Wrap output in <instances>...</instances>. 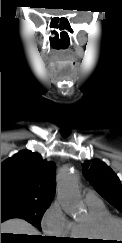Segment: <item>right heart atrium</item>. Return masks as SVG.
Segmentation results:
<instances>
[{
    "instance_id": "obj_1",
    "label": "right heart atrium",
    "mask_w": 122,
    "mask_h": 243,
    "mask_svg": "<svg viewBox=\"0 0 122 243\" xmlns=\"http://www.w3.org/2000/svg\"><path fill=\"white\" fill-rule=\"evenodd\" d=\"M43 231L53 237L65 238L70 233L71 221L59 201L53 202L41 220Z\"/></svg>"
}]
</instances>
